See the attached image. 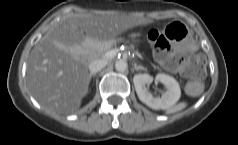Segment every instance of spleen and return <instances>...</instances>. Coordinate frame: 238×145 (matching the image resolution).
Listing matches in <instances>:
<instances>
[{"label": "spleen", "mask_w": 238, "mask_h": 145, "mask_svg": "<svg viewBox=\"0 0 238 145\" xmlns=\"http://www.w3.org/2000/svg\"><path fill=\"white\" fill-rule=\"evenodd\" d=\"M186 106H187V103H185V102H180V103H178L177 105L168 108L167 113H175V112L181 111V110H183Z\"/></svg>", "instance_id": "1"}]
</instances>
